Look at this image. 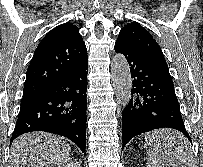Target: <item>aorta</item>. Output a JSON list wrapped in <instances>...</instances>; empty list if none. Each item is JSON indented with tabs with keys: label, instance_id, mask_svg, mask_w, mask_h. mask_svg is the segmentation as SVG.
I'll list each match as a JSON object with an SVG mask.
<instances>
[{
	"label": "aorta",
	"instance_id": "obj_1",
	"mask_svg": "<svg viewBox=\"0 0 203 167\" xmlns=\"http://www.w3.org/2000/svg\"><path fill=\"white\" fill-rule=\"evenodd\" d=\"M111 80L121 106L128 105L131 99L132 78L129 64L123 54H115L111 62Z\"/></svg>",
	"mask_w": 203,
	"mask_h": 167
}]
</instances>
